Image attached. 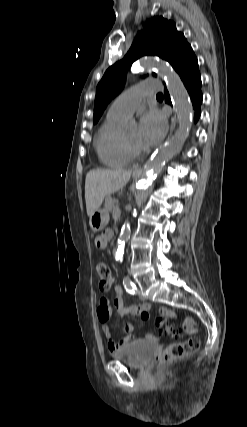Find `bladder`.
Wrapping results in <instances>:
<instances>
[{"mask_svg":"<svg viewBox=\"0 0 247 427\" xmlns=\"http://www.w3.org/2000/svg\"><path fill=\"white\" fill-rule=\"evenodd\" d=\"M156 351L157 346L154 343L137 340L113 352L112 357L139 369L144 368L151 361Z\"/></svg>","mask_w":247,"mask_h":427,"instance_id":"obj_1","label":"bladder"}]
</instances>
